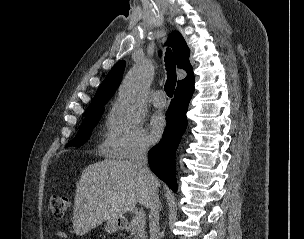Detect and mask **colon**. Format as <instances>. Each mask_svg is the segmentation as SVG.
<instances>
[{"instance_id": "colon-1", "label": "colon", "mask_w": 304, "mask_h": 239, "mask_svg": "<svg viewBox=\"0 0 304 239\" xmlns=\"http://www.w3.org/2000/svg\"><path fill=\"white\" fill-rule=\"evenodd\" d=\"M49 207L55 218H62L70 207V200L66 196L54 195L49 199Z\"/></svg>"}]
</instances>
